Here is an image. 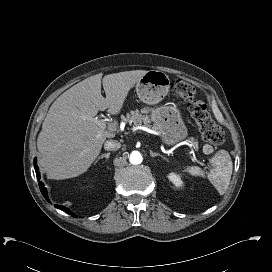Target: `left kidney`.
Here are the masks:
<instances>
[{
  "mask_svg": "<svg viewBox=\"0 0 272 272\" xmlns=\"http://www.w3.org/2000/svg\"><path fill=\"white\" fill-rule=\"evenodd\" d=\"M168 179L173 182L176 187H182L183 185V181L181 180L180 176L174 172L168 175Z\"/></svg>",
  "mask_w": 272,
  "mask_h": 272,
  "instance_id": "left-kidney-1",
  "label": "left kidney"
}]
</instances>
